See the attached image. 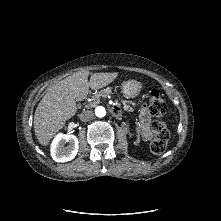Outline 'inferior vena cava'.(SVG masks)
Here are the masks:
<instances>
[{
	"mask_svg": "<svg viewBox=\"0 0 221 221\" xmlns=\"http://www.w3.org/2000/svg\"><path fill=\"white\" fill-rule=\"evenodd\" d=\"M93 116H94V113L91 110H87L79 114L80 120L84 122L91 120Z\"/></svg>",
	"mask_w": 221,
	"mask_h": 221,
	"instance_id": "obj_1",
	"label": "inferior vena cava"
}]
</instances>
